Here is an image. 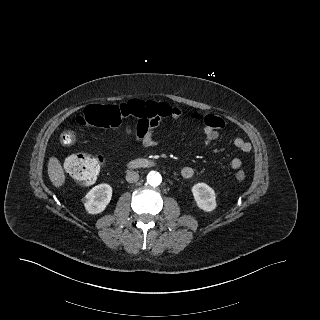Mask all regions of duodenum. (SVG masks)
I'll use <instances>...</instances> for the list:
<instances>
[{
    "mask_svg": "<svg viewBox=\"0 0 320 320\" xmlns=\"http://www.w3.org/2000/svg\"><path fill=\"white\" fill-rule=\"evenodd\" d=\"M154 162L151 160H147V159H137L134 160L131 163V166L133 167H139V168H144V167H150L153 166Z\"/></svg>",
    "mask_w": 320,
    "mask_h": 320,
    "instance_id": "obj_1",
    "label": "duodenum"
}]
</instances>
